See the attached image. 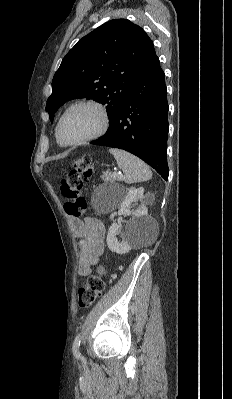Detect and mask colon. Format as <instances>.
Returning <instances> with one entry per match:
<instances>
[{"label": "colon", "mask_w": 232, "mask_h": 399, "mask_svg": "<svg viewBox=\"0 0 232 399\" xmlns=\"http://www.w3.org/2000/svg\"><path fill=\"white\" fill-rule=\"evenodd\" d=\"M73 175H65V180H62L60 187L61 191H66L70 196H83L82 191V175L84 172L91 173V156H86V160L82 157L74 158ZM74 203H64L65 212H68L69 218H85L89 203L87 198H74ZM91 274H99V269H91ZM108 273H113V268H108ZM103 287H107V269H102V276H88L86 284H82L79 290L81 310H86V303H90V309L94 310L98 300H101V291Z\"/></svg>", "instance_id": "colon-1"}]
</instances>
